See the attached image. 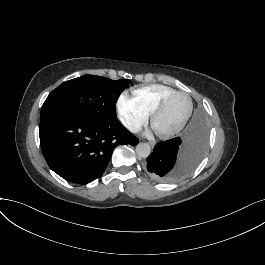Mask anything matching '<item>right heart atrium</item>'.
<instances>
[{"mask_svg":"<svg viewBox=\"0 0 265 265\" xmlns=\"http://www.w3.org/2000/svg\"><path fill=\"white\" fill-rule=\"evenodd\" d=\"M119 109L126 120L127 127L133 132L142 129L150 117V113L141 102L127 95L121 96Z\"/></svg>","mask_w":265,"mask_h":265,"instance_id":"1","label":"right heart atrium"}]
</instances>
